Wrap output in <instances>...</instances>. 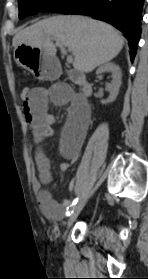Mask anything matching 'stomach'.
I'll list each match as a JSON object with an SVG mask.
<instances>
[{
  "label": "stomach",
  "mask_w": 148,
  "mask_h": 279,
  "mask_svg": "<svg viewBox=\"0 0 148 279\" xmlns=\"http://www.w3.org/2000/svg\"><path fill=\"white\" fill-rule=\"evenodd\" d=\"M14 59L23 66L22 75L38 78V82H57L59 62L42 49L20 45L15 49Z\"/></svg>",
  "instance_id": "1"
}]
</instances>
